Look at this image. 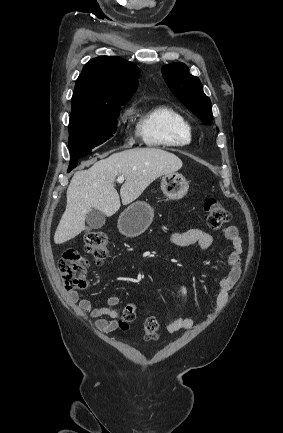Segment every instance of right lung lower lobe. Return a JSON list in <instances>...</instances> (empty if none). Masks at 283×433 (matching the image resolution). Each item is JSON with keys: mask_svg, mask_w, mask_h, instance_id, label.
Instances as JSON below:
<instances>
[{"mask_svg": "<svg viewBox=\"0 0 283 433\" xmlns=\"http://www.w3.org/2000/svg\"><path fill=\"white\" fill-rule=\"evenodd\" d=\"M80 157H83V156L71 158V161H70V164H69V167H68V172H70L72 169H74L77 166V160Z\"/></svg>", "mask_w": 283, "mask_h": 433, "instance_id": "98d812e1", "label": "right lung lower lobe"}]
</instances>
